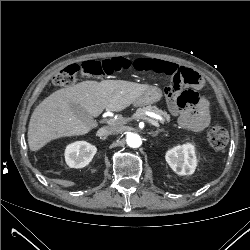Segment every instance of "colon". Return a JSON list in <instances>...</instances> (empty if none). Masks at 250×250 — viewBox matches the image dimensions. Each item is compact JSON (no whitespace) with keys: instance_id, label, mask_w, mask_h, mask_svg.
<instances>
[{"instance_id":"5ec220e1","label":"colon","mask_w":250,"mask_h":250,"mask_svg":"<svg viewBox=\"0 0 250 250\" xmlns=\"http://www.w3.org/2000/svg\"><path fill=\"white\" fill-rule=\"evenodd\" d=\"M133 67V60L124 57H117L107 60L86 61L82 65H68L53 76V82L57 86H70L75 80L77 74L82 71L84 74L92 77L111 75L114 72L126 71ZM197 87L201 84L200 75L189 68H182L172 75L171 87L179 89L182 85ZM180 102L183 105H189L192 108L200 103L199 94L193 89L184 90L180 95ZM228 132L225 128L215 125L212 126L208 133L207 139L210 146L215 150H222L228 143Z\"/></svg>"}]
</instances>
